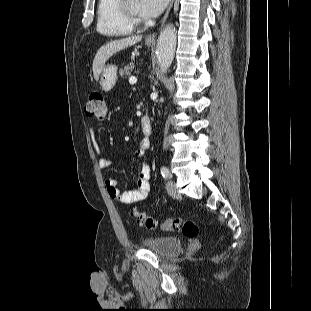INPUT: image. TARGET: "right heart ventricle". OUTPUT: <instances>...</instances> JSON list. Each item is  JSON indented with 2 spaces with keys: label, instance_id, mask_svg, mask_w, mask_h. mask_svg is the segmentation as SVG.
Masks as SVG:
<instances>
[{
  "label": "right heart ventricle",
  "instance_id": "right-heart-ventricle-1",
  "mask_svg": "<svg viewBox=\"0 0 311 311\" xmlns=\"http://www.w3.org/2000/svg\"><path fill=\"white\" fill-rule=\"evenodd\" d=\"M120 4L121 0H98L96 28L99 33L110 37L132 33L133 27L125 20Z\"/></svg>",
  "mask_w": 311,
  "mask_h": 311
}]
</instances>
